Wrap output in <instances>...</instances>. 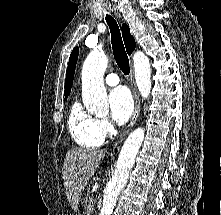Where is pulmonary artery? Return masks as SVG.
<instances>
[{
  "mask_svg": "<svg viewBox=\"0 0 221 215\" xmlns=\"http://www.w3.org/2000/svg\"><path fill=\"white\" fill-rule=\"evenodd\" d=\"M105 82L109 86H115V85L119 84L120 79L117 74L110 73L105 77Z\"/></svg>",
  "mask_w": 221,
  "mask_h": 215,
  "instance_id": "e3ab8cb5",
  "label": "pulmonary artery"
}]
</instances>
